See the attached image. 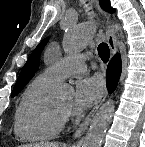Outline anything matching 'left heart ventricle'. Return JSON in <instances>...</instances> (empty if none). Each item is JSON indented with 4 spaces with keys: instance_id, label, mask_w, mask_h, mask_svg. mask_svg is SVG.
Instances as JSON below:
<instances>
[{
    "instance_id": "1",
    "label": "left heart ventricle",
    "mask_w": 145,
    "mask_h": 147,
    "mask_svg": "<svg viewBox=\"0 0 145 147\" xmlns=\"http://www.w3.org/2000/svg\"><path fill=\"white\" fill-rule=\"evenodd\" d=\"M71 104V99H65L57 103V105L62 109H69Z\"/></svg>"
}]
</instances>
